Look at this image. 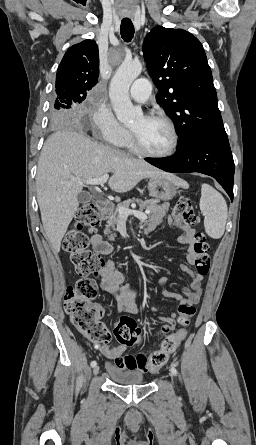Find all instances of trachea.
Instances as JSON below:
<instances>
[{
  "label": "trachea",
  "instance_id": "3493384b",
  "mask_svg": "<svg viewBox=\"0 0 256 445\" xmlns=\"http://www.w3.org/2000/svg\"><path fill=\"white\" fill-rule=\"evenodd\" d=\"M121 37L125 42H130L134 36V26L130 19H123L120 27Z\"/></svg>",
  "mask_w": 256,
  "mask_h": 445
}]
</instances>
